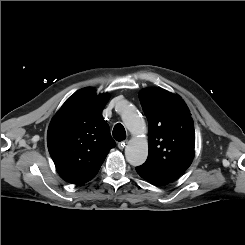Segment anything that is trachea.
Instances as JSON below:
<instances>
[{"mask_svg": "<svg viewBox=\"0 0 245 245\" xmlns=\"http://www.w3.org/2000/svg\"><path fill=\"white\" fill-rule=\"evenodd\" d=\"M112 134L117 141H122L126 138V131L121 123L115 125Z\"/></svg>", "mask_w": 245, "mask_h": 245, "instance_id": "1", "label": "trachea"}]
</instances>
